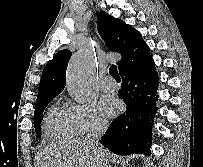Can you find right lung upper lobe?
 Here are the masks:
<instances>
[{
    "instance_id": "right-lung-upper-lobe-1",
    "label": "right lung upper lobe",
    "mask_w": 203,
    "mask_h": 167,
    "mask_svg": "<svg viewBox=\"0 0 203 167\" xmlns=\"http://www.w3.org/2000/svg\"><path fill=\"white\" fill-rule=\"evenodd\" d=\"M97 27L109 50L121 54L122 58L117 62L120 73L136 67L151 56L141 33L122 20L101 11L97 16ZM70 57L69 50H61L46 64L36 103L55 97L63 91Z\"/></svg>"
}]
</instances>
